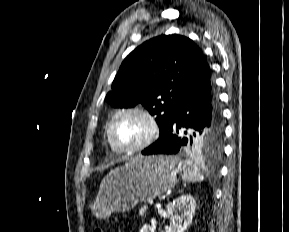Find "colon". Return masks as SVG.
I'll return each mask as SVG.
<instances>
[{
  "label": "colon",
  "mask_w": 289,
  "mask_h": 232,
  "mask_svg": "<svg viewBox=\"0 0 289 232\" xmlns=\"http://www.w3.org/2000/svg\"><path fill=\"white\" fill-rule=\"evenodd\" d=\"M93 232H104V231L102 229H100V228H97Z\"/></svg>",
  "instance_id": "colon-1"
}]
</instances>
